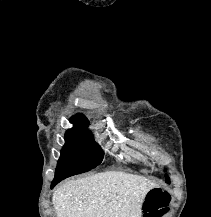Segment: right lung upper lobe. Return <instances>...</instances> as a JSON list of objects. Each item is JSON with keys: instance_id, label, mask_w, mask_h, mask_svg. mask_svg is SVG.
I'll return each instance as SVG.
<instances>
[{"instance_id": "right-lung-upper-lobe-1", "label": "right lung upper lobe", "mask_w": 211, "mask_h": 217, "mask_svg": "<svg viewBox=\"0 0 211 217\" xmlns=\"http://www.w3.org/2000/svg\"><path fill=\"white\" fill-rule=\"evenodd\" d=\"M74 124V128H87L89 122L83 114H78L73 116L70 120Z\"/></svg>"}]
</instances>
